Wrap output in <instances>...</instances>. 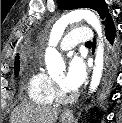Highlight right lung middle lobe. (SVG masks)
<instances>
[{"mask_svg": "<svg viewBox=\"0 0 122 123\" xmlns=\"http://www.w3.org/2000/svg\"><path fill=\"white\" fill-rule=\"evenodd\" d=\"M14 68H15V69H14L15 77H17V76H18V72H19V66L14 67Z\"/></svg>", "mask_w": 122, "mask_h": 123, "instance_id": "1", "label": "right lung middle lobe"}]
</instances>
